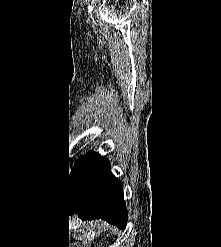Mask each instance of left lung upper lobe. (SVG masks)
Segmentation results:
<instances>
[{
    "instance_id": "left-lung-upper-lobe-1",
    "label": "left lung upper lobe",
    "mask_w": 221,
    "mask_h": 247,
    "mask_svg": "<svg viewBox=\"0 0 221 247\" xmlns=\"http://www.w3.org/2000/svg\"><path fill=\"white\" fill-rule=\"evenodd\" d=\"M84 157V156H83ZM83 157L81 156L77 162L75 163L74 167L71 169V172H70V175H68V172H67V178H66V181H67V184L70 182L71 178L73 177L76 169L78 168L81 160L83 159Z\"/></svg>"
}]
</instances>
